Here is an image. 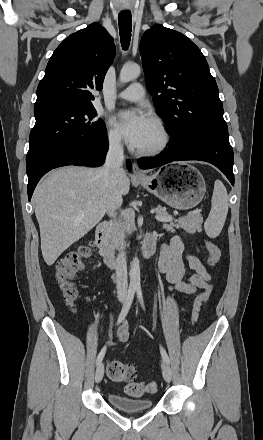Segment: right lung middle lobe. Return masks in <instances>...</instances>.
Segmentation results:
<instances>
[{
    "mask_svg": "<svg viewBox=\"0 0 263 440\" xmlns=\"http://www.w3.org/2000/svg\"><path fill=\"white\" fill-rule=\"evenodd\" d=\"M35 126L29 137L26 162L64 141L101 136L106 132L102 119L92 104H57L34 108Z\"/></svg>",
    "mask_w": 263,
    "mask_h": 440,
    "instance_id": "obj_1",
    "label": "right lung middle lobe"
}]
</instances>
